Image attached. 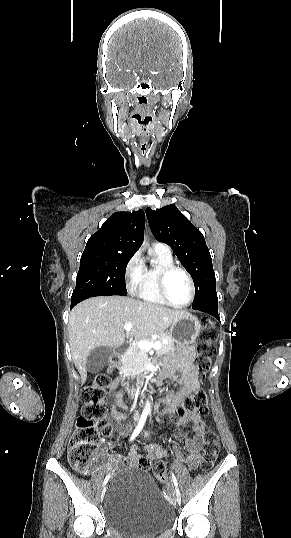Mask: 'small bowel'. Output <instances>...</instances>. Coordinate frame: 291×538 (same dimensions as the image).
Masks as SVG:
<instances>
[{
	"instance_id": "c3829d8e",
	"label": "small bowel",
	"mask_w": 291,
	"mask_h": 538,
	"mask_svg": "<svg viewBox=\"0 0 291 538\" xmlns=\"http://www.w3.org/2000/svg\"><path fill=\"white\" fill-rule=\"evenodd\" d=\"M192 357L193 351L191 349H185L167 357V372L165 376L178 383L180 385V389L177 392L168 393L161 399V403L164 406L163 409L160 410L161 415H169L174 413L180 407L183 400L199 388L197 373L192 365ZM123 380V376L117 377L109 386V390L112 393L110 413L112 419L117 423L118 428L123 433H126L127 428L122 427L120 422L124 421L127 416L120 410H126L127 406L123 400V393L120 391L115 392ZM188 422H191L192 424L194 436L192 438L185 439L183 449L187 452V466L190 469H196L200 464V449L205 435V423L200 415L186 414L181 418L180 425L183 426ZM147 451V458L149 460L164 456V453L153 447H148ZM141 457L142 456L138 452L137 447H133L127 458L110 456L109 459L112 463L127 466L129 464L138 463Z\"/></svg>"
}]
</instances>
